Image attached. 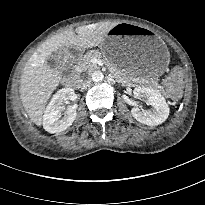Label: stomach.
Listing matches in <instances>:
<instances>
[{"instance_id": "0dacf381", "label": "stomach", "mask_w": 205, "mask_h": 205, "mask_svg": "<svg viewBox=\"0 0 205 205\" xmlns=\"http://www.w3.org/2000/svg\"><path fill=\"white\" fill-rule=\"evenodd\" d=\"M99 47L120 70L141 83L158 80L170 63V53L163 39L137 24L113 27Z\"/></svg>"}]
</instances>
